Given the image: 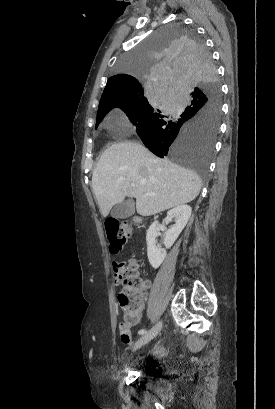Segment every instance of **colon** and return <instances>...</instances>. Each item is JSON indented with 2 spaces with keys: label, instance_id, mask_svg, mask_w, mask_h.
Here are the masks:
<instances>
[{
  "label": "colon",
  "instance_id": "1",
  "mask_svg": "<svg viewBox=\"0 0 275 409\" xmlns=\"http://www.w3.org/2000/svg\"><path fill=\"white\" fill-rule=\"evenodd\" d=\"M110 250L119 253L123 250L129 237V230L118 219H109L104 228ZM138 261L130 259L123 266L121 261L113 263V274L121 275L120 280L123 291L118 294V300L124 311V318L118 325H134L140 315V310L144 300L142 289L146 288L149 282L137 274Z\"/></svg>",
  "mask_w": 275,
  "mask_h": 409
}]
</instances>
